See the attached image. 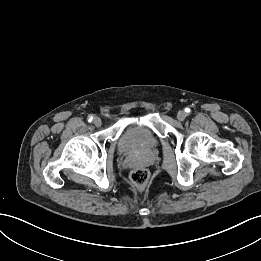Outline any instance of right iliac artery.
<instances>
[{"instance_id": "1", "label": "right iliac artery", "mask_w": 261, "mask_h": 261, "mask_svg": "<svg viewBox=\"0 0 261 261\" xmlns=\"http://www.w3.org/2000/svg\"><path fill=\"white\" fill-rule=\"evenodd\" d=\"M93 120V116L88 117V121L91 122Z\"/></svg>"}]
</instances>
